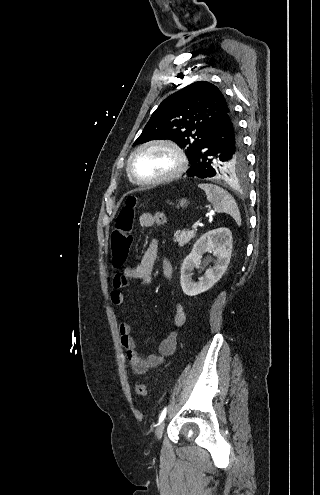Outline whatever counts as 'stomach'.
Listing matches in <instances>:
<instances>
[{"label":"stomach","instance_id":"0dacf381","mask_svg":"<svg viewBox=\"0 0 320 495\" xmlns=\"http://www.w3.org/2000/svg\"><path fill=\"white\" fill-rule=\"evenodd\" d=\"M179 204H180V207H185V206H187L188 201H187L186 199H184V198H183V199H181V200L179 201Z\"/></svg>","mask_w":320,"mask_h":495}]
</instances>
